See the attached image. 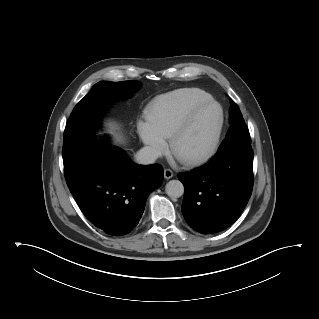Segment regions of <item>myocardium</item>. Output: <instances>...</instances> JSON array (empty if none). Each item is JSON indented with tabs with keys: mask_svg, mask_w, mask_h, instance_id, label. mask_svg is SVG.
<instances>
[{
	"mask_svg": "<svg viewBox=\"0 0 319 319\" xmlns=\"http://www.w3.org/2000/svg\"><path fill=\"white\" fill-rule=\"evenodd\" d=\"M209 106H216L219 109L220 114V121L219 126L217 129V132L215 134L214 140L212 142L211 147L204 153L195 155V156H180L177 152V145L178 142L186 135V133L190 130L192 127L196 117L198 114L204 110L205 108ZM225 127V111L222 107V105L215 101L214 99H210L208 101H205L203 103H200L196 105L187 115L185 120L181 123V125L173 132V134L170 137V151L171 153L184 165L187 166H196L203 164L213 158L215 154L217 153L220 143L222 134Z\"/></svg>",
	"mask_w": 319,
	"mask_h": 319,
	"instance_id": "f54148a6",
	"label": "myocardium"
}]
</instances>
